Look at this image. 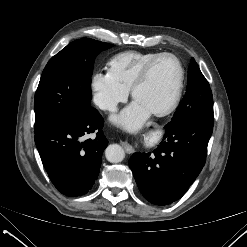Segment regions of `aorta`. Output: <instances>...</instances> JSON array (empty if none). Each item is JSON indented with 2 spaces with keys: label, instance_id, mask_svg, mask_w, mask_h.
<instances>
[{
  "label": "aorta",
  "instance_id": "obj_1",
  "mask_svg": "<svg viewBox=\"0 0 247 247\" xmlns=\"http://www.w3.org/2000/svg\"><path fill=\"white\" fill-rule=\"evenodd\" d=\"M106 159L111 163H119L125 157L124 149L118 144H111L105 150Z\"/></svg>",
  "mask_w": 247,
  "mask_h": 247
}]
</instances>
